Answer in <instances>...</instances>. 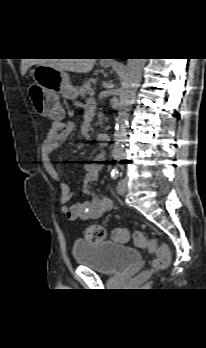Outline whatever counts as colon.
Instances as JSON below:
<instances>
[{
  "label": "colon",
  "mask_w": 206,
  "mask_h": 348,
  "mask_svg": "<svg viewBox=\"0 0 206 348\" xmlns=\"http://www.w3.org/2000/svg\"><path fill=\"white\" fill-rule=\"evenodd\" d=\"M29 94L36 109L42 114L53 118L56 122L61 121L62 111L54 96L47 95L40 86L35 84L30 85ZM84 235L87 241L98 242L106 238L107 231L104 226L93 224L85 229ZM111 236L114 241L120 243L127 242L131 237L129 230L124 228L114 229ZM132 239L137 247L155 254L151 265L153 270H163L168 266L170 250L167 245L160 243L156 239H149L140 232H134Z\"/></svg>",
  "instance_id": "1"
}]
</instances>
